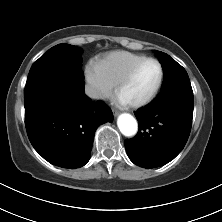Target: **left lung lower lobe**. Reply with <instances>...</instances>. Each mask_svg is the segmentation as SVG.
<instances>
[{"label":"left lung lower lobe","mask_w":222,"mask_h":222,"mask_svg":"<svg viewBox=\"0 0 222 222\" xmlns=\"http://www.w3.org/2000/svg\"><path fill=\"white\" fill-rule=\"evenodd\" d=\"M194 98L191 87L163 90L135 112L139 131L125 140L130 160L144 168L162 166L184 148L192 125Z\"/></svg>","instance_id":"obj_1"}]
</instances>
